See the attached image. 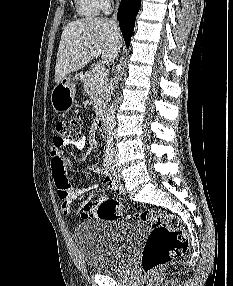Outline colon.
<instances>
[{"mask_svg":"<svg viewBox=\"0 0 233 286\" xmlns=\"http://www.w3.org/2000/svg\"><path fill=\"white\" fill-rule=\"evenodd\" d=\"M83 120L74 116L60 121L56 126V138L76 142L81 138ZM96 214L104 220H115L123 215L121 205L115 200H103L96 206ZM136 216L150 228L141 254V266L150 273L185 252L189 245L182 221L175 215L154 209H145Z\"/></svg>","mask_w":233,"mask_h":286,"instance_id":"obj_1","label":"colon"}]
</instances>
